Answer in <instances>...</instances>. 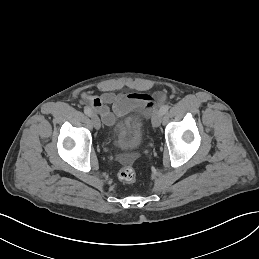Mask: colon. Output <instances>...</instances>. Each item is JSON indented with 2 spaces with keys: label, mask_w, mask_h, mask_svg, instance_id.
<instances>
[{
  "label": "colon",
  "mask_w": 259,
  "mask_h": 259,
  "mask_svg": "<svg viewBox=\"0 0 259 259\" xmlns=\"http://www.w3.org/2000/svg\"><path fill=\"white\" fill-rule=\"evenodd\" d=\"M118 178L123 183H134L137 179V173L132 167H124L119 171Z\"/></svg>",
  "instance_id": "5ec220e1"
}]
</instances>
